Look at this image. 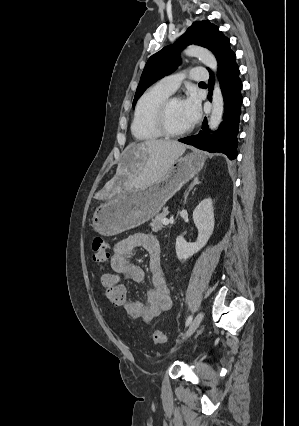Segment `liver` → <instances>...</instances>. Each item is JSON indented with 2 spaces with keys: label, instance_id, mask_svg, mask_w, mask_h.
I'll return each instance as SVG.
<instances>
[{
  "label": "liver",
  "instance_id": "obj_1",
  "mask_svg": "<svg viewBox=\"0 0 299 426\" xmlns=\"http://www.w3.org/2000/svg\"><path fill=\"white\" fill-rule=\"evenodd\" d=\"M185 150L186 145L177 141L151 139L131 143L118 165L116 178L126 175L133 187L148 186L161 179Z\"/></svg>",
  "mask_w": 299,
  "mask_h": 426
}]
</instances>
